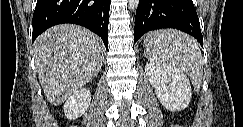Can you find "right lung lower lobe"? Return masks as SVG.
<instances>
[{
  "label": "right lung lower lobe",
  "mask_w": 243,
  "mask_h": 127,
  "mask_svg": "<svg viewBox=\"0 0 243 127\" xmlns=\"http://www.w3.org/2000/svg\"><path fill=\"white\" fill-rule=\"evenodd\" d=\"M110 0H37L33 42L46 29L62 23L84 26L99 35L108 48Z\"/></svg>",
  "instance_id": "98d812e1"
}]
</instances>
